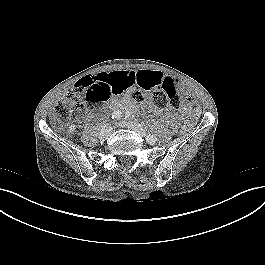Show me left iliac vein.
<instances>
[{
	"instance_id": "obj_1",
	"label": "left iliac vein",
	"mask_w": 265,
	"mask_h": 265,
	"mask_svg": "<svg viewBox=\"0 0 265 265\" xmlns=\"http://www.w3.org/2000/svg\"><path fill=\"white\" fill-rule=\"evenodd\" d=\"M119 124H120V126H122V127L127 126L129 129H131V130L137 132V133H138L140 136H142V137L146 136V132H145V130H144L143 127H142L140 124H138V123H135V122H128V123L120 122ZM156 141H157V138H156V137L154 138V140H147V142L150 143V144H155Z\"/></svg>"
}]
</instances>
